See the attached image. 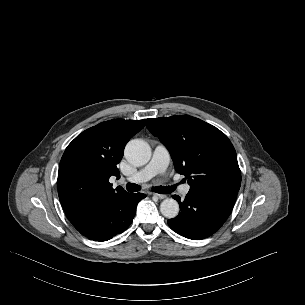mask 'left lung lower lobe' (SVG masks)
Segmentation results:
<instances>
[{"instance_id": "obj_1", "label": "left lung lower lobe", "mask_w": 305, "mask_h": 305, "mask_svg": "<svg viewBox=\"0 0 305 305\" xmlns=\"http://www.w3.org/2000/svg\"><path fill=\"white\" fill-rule=\"evenodd\" d=\"M238 190H189L183 202H179L178 216L169 219L168 225L176 233L193 240L214 234L227 220L234 206Z\"/></svg>"}]
</instances>
